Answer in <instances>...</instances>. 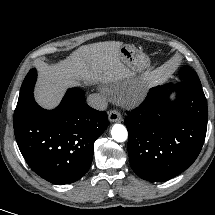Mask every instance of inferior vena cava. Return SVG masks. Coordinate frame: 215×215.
Returning <instances> with one entry per match:
<instances>
[{"label":"inferior vena cava","instance_id":"602c4592","mask_svg":"<svg viewBox=\"0 0 215 215\" xmlns=\"http://www.w3.org/2000/svg\"><path fill=\"white\" fill-rule=\"evenodd\" d=\"M87 103L90 105L92 108L98 109V110H105L107 108V100L106 98L101 95V94H90L87 97Z\"/></svg>","mask_w":215,"mask_h":215}]
</instances>
